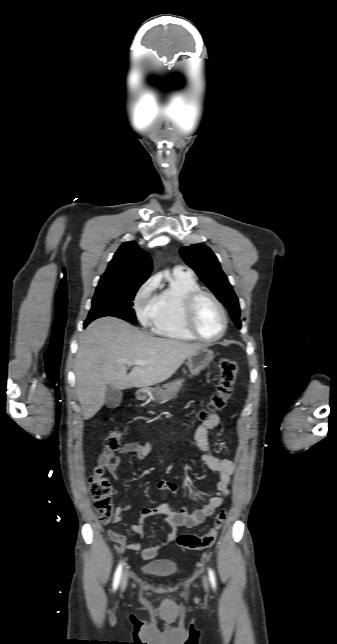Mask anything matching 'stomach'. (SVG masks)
I'll return each mask as SVG.
<instances>
[{
	"label": "stomach",
	"mask_w": 337,
	"mask_h": 644,
	"mask_svg": "<svg viewBox=\"0 0 337 644\" xmlns=\"http://www.w3.org/2000/svg\"><path fill=\"white\" fill-rule=\"evenodd\" d=\"M214 358L212 350L203 346L187 358V366L192 376L198 375Z\"/></svg>",
	"instance_id": "stomach-1"
}]
</instances>
